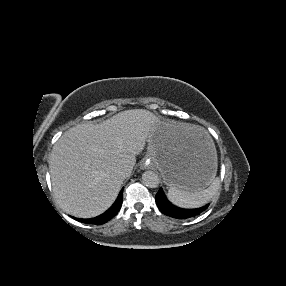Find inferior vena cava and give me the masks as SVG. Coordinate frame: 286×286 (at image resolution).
<instances>
[{
	"instance_id": "obj_1",
	"label": "inferior vena cava",
	"mask_w": 286,
	"mask_h": 286,
	"mask_svg": "<svg viewBox=\"0 0 286 286\" xmlns=\"http://www.w3.org/2000/svg\"><path fill=\"white\" fill-rule=\"evenodd\" d=\"M115 173L120 177H127L128 176V169L124 165H118L115 168Z\"/></svg>"
}]
</instances>
